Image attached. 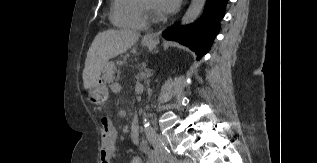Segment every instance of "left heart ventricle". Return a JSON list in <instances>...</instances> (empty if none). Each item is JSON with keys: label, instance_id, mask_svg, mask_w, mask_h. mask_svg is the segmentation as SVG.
<instances>
[{"label": "left heart ventricle", "instance_id": "b2bd125f", "mask_svg": "<svg viewBox=\"0 0 317 163\" xmlns=\"http://www.w3.org/2000/svg\"><path fill=\"white\" fill-rule=\"evenodd\" d=\"M149 5L150 7L153 9V11L156 13V14H159V12L156 10L155 8V5H154V0H145Z\"/></svg>", "mask_w": 317, "mask_h": 163}]
</instances>
